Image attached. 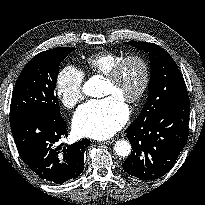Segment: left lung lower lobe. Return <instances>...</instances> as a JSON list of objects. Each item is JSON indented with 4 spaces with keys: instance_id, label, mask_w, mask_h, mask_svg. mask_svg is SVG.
<instances>
[{
    "instance_id": "1",
    "label": "left lung lower lobe",
    "mask_w": 205,
    "mask_h": 205,
    "mask_svg": "<svg viewBox=\"0 0 205 205\" xmlns=\"http://www.w3.org/2000/svg\"><path fill=\"white\" fill-rule=\"evenodd\" d=\"M189 111V100L177 101L144 122L132 123L125 130L133 151L124 171L145 181L164 175L187 142Z\"/></svg>"
}]
</instances>
